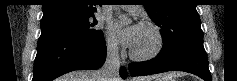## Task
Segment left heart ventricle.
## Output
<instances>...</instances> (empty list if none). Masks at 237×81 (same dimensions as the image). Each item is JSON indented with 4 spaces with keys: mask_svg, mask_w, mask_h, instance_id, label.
Wrapping results in <instances>:
<instances>
[{
    "mask_svg": "<svg viewBox=\"0 0 237 81\" xmlns=\"http://www.w3.org/2000/svg\"><path fill=\"white\" fill-rule=\"evenodd\" d=\"M156 39L151 29L139 26L137 38L132 50L136 54H145L153 49Z\"/></svg>",
    "mask_w": 237,
    "mask_h": 81,
    "instance_id": "obj_1",
    "label": "left heart ventricle"
}]
</instances>
